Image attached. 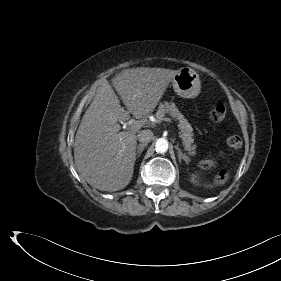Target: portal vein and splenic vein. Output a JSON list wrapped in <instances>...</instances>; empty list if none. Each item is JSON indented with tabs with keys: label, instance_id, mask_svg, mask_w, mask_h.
I'll list each match as a JSON object with an SVG mask.
<instances>
[{
	"label": "portal vein and splenic vein",
	"instance_id": "obj_1",
	"mask_svg": "<svg viewBox=\"0 0 281 281\" xmlns=\"http://www.w3.org/2000/svg\"><path fill=\"white\" fill-rule=\"evenodd\" d=\"M163 120L166 121V122L172 123L171 118L166 117ZM144 122L145 121L142 120V121H136V122L132 123L131 124V131H134V132L138 131L144 125Z\"/></svg>",
	"mask_w": 281,
	"mask_h": 281
}]
</instances>
